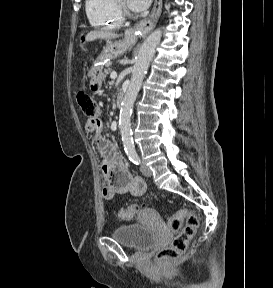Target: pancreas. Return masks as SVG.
Segmentation results:
<instances>
[{
    "instance_id": "cf45deb5",
    "label": "pancreas",
    "mask_w": 273,
    "mask_h": 288,
    "mask_svg": "<svg viewBox=\"0 0 273 288\" xmlns=\"http://www.w3.org/2000/svg\"><path fill=\"white\" fill-rule=\"evenodd\" d=\"M110 72H111V69L108 68V69H106V70L104 71V73L101 75L102 80H103L104 82H105V79H106L107 75H108Z\"/></svg>"
}]
</instances>
